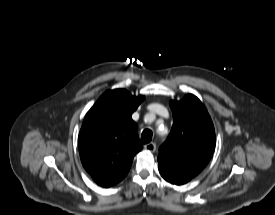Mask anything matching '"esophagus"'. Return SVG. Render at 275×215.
Here are the masks:
<instances>
[{
	"label": "esophagus",
	"instance_id": "obj_1",
	"mask_svg": "<svg viewBox=\"0 0 275 215\" xmlns=\"http://www.w3.org/2000/svg\"><path fill=\"white\" fill-rule=\"evenodd\" d=\"M144 149L149 152H155L156 151V144L154 142L148 143L144 145Z\"/></svg>",
	"mask_w": 275,
	"mask_h": 215
}]
</instances>
